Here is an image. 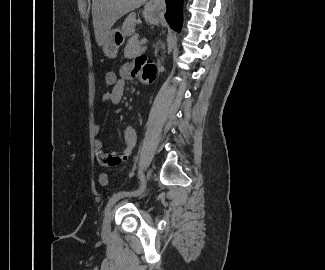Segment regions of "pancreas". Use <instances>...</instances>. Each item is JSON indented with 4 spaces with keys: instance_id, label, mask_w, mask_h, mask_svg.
Masks as SVG:
<instances>
[{
    "instance_id": "1",
    "label": "pancreas",
    "mask_w": 325,
    "mask_h": 270,
    "mask_svg": "<svg viewBox=\"0 0 325 270\" xmlns=\"http://www.w3.org/2000/svg\"><path fill=\"white\" fill-rule=\"evenodd\" d=\"M142 42L139 41L137 36L131 37L124 49V57L133 59L145 51V47L142 46Z\"/></svg>"
}]
</instances>
